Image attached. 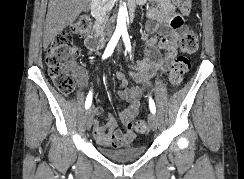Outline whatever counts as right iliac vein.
Returning a JSON list of instances; mask_svg holds the SVG:
<instances>
[{
    "mask_svg": "<svg viewBox=\"0 0 244 179\" xmlns=\"http://www.w3.org/2000/svg\"><path fill=\"white\" fill-rule=\"evenodd\" d=\"M94 118L93 106L89 107L84 116V123L87 129L91 128L92 121Z\"/></svg>",
    "mask_w": 244,
    "mask_h": 179,
    "instance_id": "obj_1",
    "label": "right iliac vein"
}]
</instances>
